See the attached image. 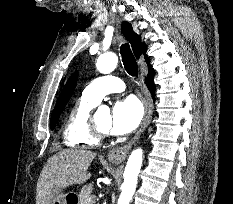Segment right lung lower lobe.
<instances>
[{
  "label": "right lung lower lobe",
  "instance_id": "obj_1",
  "mask_svg": "<svg viewBox=\"0 0 233 204\" xmlns=\"http://www.w3.org/2000/svg\"><path fill=\"white\" fill-rule=\"evenodd\" d=\"M153 78H154V72H153V69H151V67H150L149 73H148L147 78H146V84H147L150 92L152 93V97L154 98L155 89H154Z\"/></svg>",
  "mask_w": 233,
  "mask_h": 204
}]
</instances>
